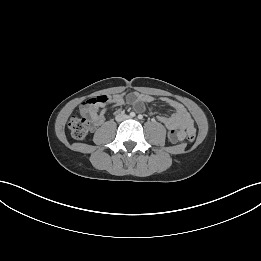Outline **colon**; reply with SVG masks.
Returning <instances> with one entry per match:
<instances>
[{"label": "colon", "mask_w": 261, "mask_h": 261, "mask_svg": "<svg viewBox=\"0 0 261 261\" xmlns=\"http://www.w3.org/2000/svg\"><path fill=\"white\" fill-rule=\"evenodd\" d=\"M106 100V96H98L89 100L92 103L104 102ZM68 128L70 133L74 139L80 140L83 139L90 128V120L85 116V114L81 115H73L68 121ZM195 133L190 132L188 134V142H192L194 140Z\"/></svg>", "instance_id": "1"}]
</instances>
